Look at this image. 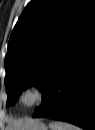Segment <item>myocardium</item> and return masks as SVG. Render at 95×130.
<instances>
[{"instance_id": "obj_1", "label": "myocardium", "mask_w": 95, "mask_h": 130, "mask_svg": "<svg viewBox=\"0 0 95 130\" xmlns=\"http://www.w3.org/2000/svg\"><path fill=\"white\" fill-rule=\"evenodd\" d=\"M33 93L34 94V100L30 104H24L22 102V98L26 93ZM46 97V90L45 87L37 82L28 83L24 85L17 94V103L21 108L24 109H33L39 106Z\"/></svg>"}]
</instances>
